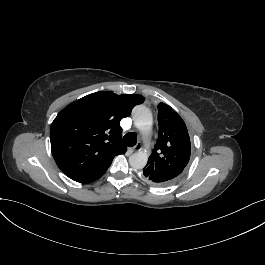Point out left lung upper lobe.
Instances as JSON below:
<instances>
[{
  "mask_svg": "<svg viewBox=\"0 0 265 265\" xmlns=\"http://www.w3.org/2000/svg\"><path fill=\"white\" fill-rule=\"evenodd\" d=\"M158 123V140L143 177L152 184L165 186L177 180L187 166L191 142L184 121L169 105L158 104Z\"/></svg>",
  "mask_w": 265,
  "mask_h": 265,
  "instance_id": "1",
  "label": "left lung upper lobe"
}]
</instances>
